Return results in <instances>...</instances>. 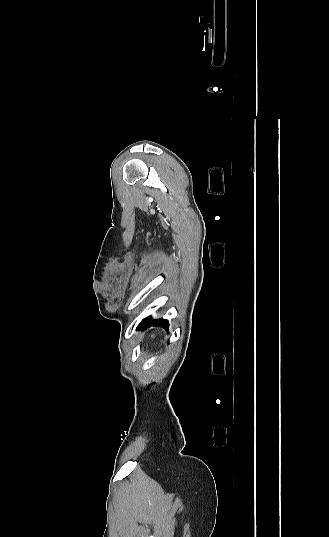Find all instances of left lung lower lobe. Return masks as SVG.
Listing matches in <instances>:
<instances>
[{
    "label": "left lung lower lobe",
    "mask_w": 329,
    "mask_h": 537,
    "mask_svg": "<svg viewBox=\"0 0 329 537\" xmlns=\"http://www.w3.org/2000/svg\"><path fill=\"white\" fill-rule=\"evenodd\" d=\"M148 325H158V326H163L165 327L166 329H168V321L165 320V319H157V320H153L151 317H147V318H144L141 323L139 324V326L137 328H141V327H144V326H148Z\"/></svg>",
    "instance_id": "1"
}]
</instances>
